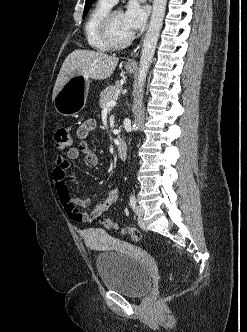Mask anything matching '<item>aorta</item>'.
<instances>
[{"instance_id":"1","label":"aorta","mask_w":247,"mask_h":332,"mask_svg":"<svg viewBox=\"0 0 247 332\" xmlns=\"http://www.w3.org/2000/svg\"><path fill=\"white\" fill-rule=\"evenodd\" d=\"M167 0H154L153 10L149 28L146 32L138 71V99L135 107V121L133 127L137 126L139 120V109L141 105V93L145 85L146 76L151 65L152 58L154 56L155 48L159 38L160 30L162 28L163 19L165 15Z\"/></svg>"}]
</instances>
